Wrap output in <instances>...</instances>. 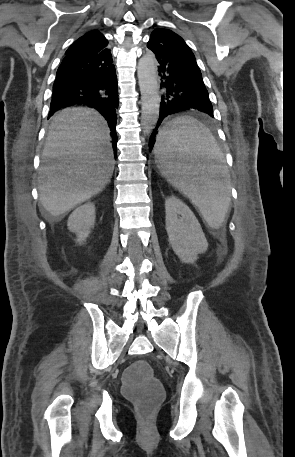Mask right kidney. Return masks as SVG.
I'll use <instances>...</instances> for the list:
<instances>
[{"instance_id":"ca27d5eb","label":"right kidney","mask_w":295,"mask_h":457,"mask_svg":"<svg viewBox=\"0 0 295 457\" xmlns=\"http://www.w3.org/2000/svg\"><path fill=\"white\" fill-rule=\"evenodd\" d=\"M95 223V205L87 203L76 210L70 215L68 219V228L70 231L76 233L77 242L82 244L90 234L91 228Z\"/></svg>"}]
</instances>
